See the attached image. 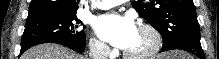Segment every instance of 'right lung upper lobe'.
Returning a JSON list of instances; mask_svg holds the SVG:
<instances>
[{
	"instance_id": "cb5924a9",
	"label": "right lung upper lobe",
	"mask_w": 219,
	"mask_h": 59,
	"mask_svg": "<svg viewBox=\"0 0 219 59\" xmlns=\"http://www.w3.org/2000/svg\"><path fill=\"white\" fill-rule=\"evenodd\" d=\"M79 0H32L29 13L50 11L58 13H76Z\"/></svg>"
}]
</instances>
